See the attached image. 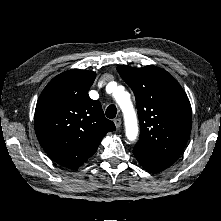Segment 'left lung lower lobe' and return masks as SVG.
<instances>
[{"instance_id": "left-lung-lower-lobe-1", "label": "left lung lower lobe", "mask_w": 221, "mask_h": 221, "mask_svg": "<svg viewBox=\"0 0 221 221\" xmlns=\"http://www.w3.org/2000/svg\"><path fill=\"white\" fill-rule=\"evenodd\" d=\"M138 162L148 171L152 173H158L169 166H171L174 161L156 158L145 151L135 150L133 151Z\"/></svg>"}]
</instances>
